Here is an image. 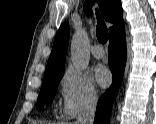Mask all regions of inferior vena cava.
<instances>
[{"instance_id":"obj_1","label":"inferior vena cava","mask_w":156,"mask_h":124,"mask_svg":"<svg viewBox=\"0 0 156 124\" xmlns=\"http://www.w3.org/2000/svg\"><path fill=\"white\" fill-rule=\"evenodd\" d=\"M97 95H89L80 108L75 124H93L97 106Z\"/></svg>"}]
</instances>
